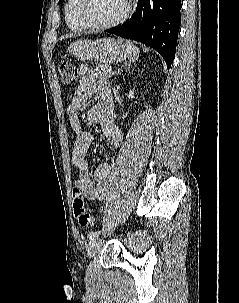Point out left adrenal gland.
<instances>
[{"instance_id":"a2214340","label":"left adrenal gland","mask_w":239,"mask_h":303,"mask_svg":"<svg viewBox=\"0 0 239 303\" xmlns=\"http://www.w3.org/2000/svg\"><path fill=\"white\" fill-rule=\"evenodd\" d=\"M124 67H130V64H127V63L125 62V63L121 66V68L118 69L117 74H119L120 71H122V69H123Z\"/></svg>"}]
</instances>
